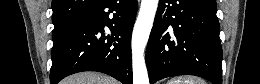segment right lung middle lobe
Returning <instances> with one entry per match:
<instances>
[{
  "label": "right lung middle lobe",
  "instance_id": "obj_1",
  "mask_svg": "<svg viewBox=\"0 0 260 84\" xmlns=\"http://www.w3.org/2000/svg\"><path fill=\"white\" fill-rule=\"evenodd\" d=\"M61 28H55L54 31H53V34H55L57 31L61 30Z\"/></svg>",
  "mask_w": 260,
  "mask_h": 84
}]
</instances>
